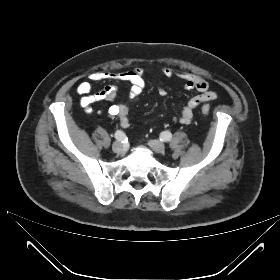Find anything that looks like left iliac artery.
<instances>
[{
  "label": "left iliac artery",
  "instance_id": "1",
  "mask_svg": "<svg viewBox=\"0 0 280 280\" xmlns=\"http://www.w3.org/2000/svg\"><path fill=\"white\" fill-rule=\"evenodd\" d=\"M171 138H172V134L169 131H165L161 134V140L162 141L167 142V141H170Z\"/></svg>",
  "mask_w": 280,
  "mask_h": 280
}]
</instances>
